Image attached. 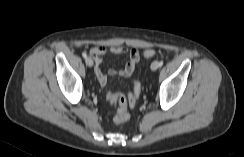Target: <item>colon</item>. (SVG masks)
<instances>
[{"mask_svg": "<svg viewBox=\"0 0 244 157\" xmlns=\"http://www.w3.org/2000/svg\"><path fill=\"white\" fill-rule=\"evenodd\" d=\"M156 54L155 50L147 49L144 51L143 55L145 58L149 59L154 57ZM141 92V86L138 82L133 84L132 91L128 94L127 97L123 95H118L112 92L107 93V100L109 103L116 107L117 111L114 116V122L116 124H122L129 119V108L135 106L137 99Z\"/></svg>", "mask_w": 244, "mask_h": 157, "instance_id": "1", "label": "colon"}]
</instances>
